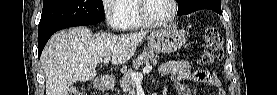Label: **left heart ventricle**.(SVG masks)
I'll return each mask as SVG.
<instances>
[{"label": "left heart ventricle", "instance_id": "obj_1", "mask_svg": "<svg viewBox=\"0 0 277 95\" xmlns=\"http://www.w3.org/2000/svg\"><path fill=\"white\" fill-rule=\"evenodd\" d=\"M144 11L151 19L165 20L171 14L172 5L169 0H147Z\"/></svg>", "mask_w": 277, "mask_h": 95}]
</instances>
